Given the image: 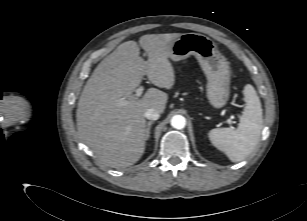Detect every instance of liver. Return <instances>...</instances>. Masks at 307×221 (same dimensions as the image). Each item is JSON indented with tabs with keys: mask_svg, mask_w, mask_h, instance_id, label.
<instances>
[{
	"mask_svg": "<svg viewBox=\"0 0 307 221\" xmlns=\"http://www.w3.org/2000/svg\"><path fill=\"white\" fill-rule=\"evenodd\" d=\"M150 34L120 44L95 68L81 93L77 108L78 136L97 158L111 168L135 164L145 150L146 120L144 113L155 108L163 113L167 93L149 88L138 99L133 92L147 75L154 85L171 89L175 73L169 61L170 47L180 36ZM148 56L140 57V48ZM129 101L120 105L119 100Z\"/></svg>",
	"mask_w": 307,
	"mask_h": 221,
	"instance_id": "6515ba94",
	"label": "liver"
}]
</instances>
